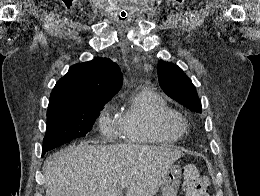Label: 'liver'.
<instances>
[{"mask_svg": "<svg viewBox=\"0 0 260 196\" xmlns=\"http://www.w3.org/2000/svg\"><path fill=\"white\" fill-rule=\"evenodd\" d=\"M184 156L173 146H94L80 142L52 154L45 166L46 196H156L170 166Z\"/></svg>", "mask_w": 260, "mask_h": 196, "instance_id": "obj_1", "label": "liver"}]
</instances>
